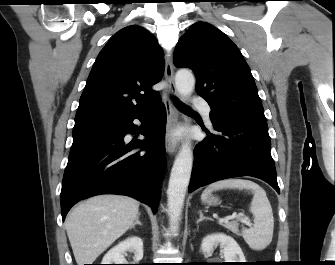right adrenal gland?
<instances>
[{
  "instance_id": "2a0ac1e0",
  "label": "right adrenal gland",
  "mask_w": 335,
  "mask_h": 265,
  "mask_svg": "<svg viewBox=\"0 0 335 265\" xmlns=\"http://www.w3.org/2000/svg\"><path fill=\"white\" fill-rule=\"evenodd\" d=\"M137 224L140 225V226H142L141 222L139 221V215L136 217L135 222H134L133 225L130 227V229L135 228V226H136Z\"/></svg>"
}]
</instances>
